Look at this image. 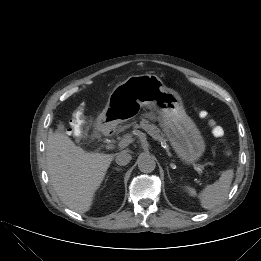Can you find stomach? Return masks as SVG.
Segmentation results:
<instances>
[{
	"instance_id": "obj_1",
	"label": "stomach",
	"mask_w": 261,
	"mask_h": 261,
	"mask_svg": "<svg viewBox=\"0 0 261 261\" xmlns=\"http://www.w3.org/2000/svg\"><path fill=\"white\" fill-rule=\"evenodd\" d=\"M143 107L159 115L167 140L184 164L201 159L206 151L203 135L187 115L180 95L167 88L156 75H133L118 84L110 93L98 124L112 128L135 119ZM146 115L151 116L152 112Z\"/></svg>"
}]
</instances>
